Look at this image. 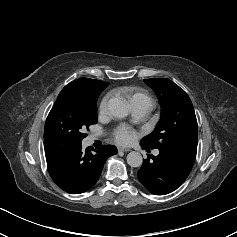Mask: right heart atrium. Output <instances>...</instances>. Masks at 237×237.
Here are the masks:
<instances>
[{
	"label": "right heart atrium",
	"mask_w": 237,
	"mask_h": 237,
	"mask_svg": "<svg viewBox=\"0 0 237 237\" xmlns=\"http://www.w3.org/2000/svg\"><path fill=\"white\" fill-rule=\"evenodd\" d=\"M108 99H109V95H106L105 97H103V99L100 102L99 105V110L101 113H104L107 109V104H108Z\"/></svg>",
	"instance_id": "obj_1"
}]
</instances>
